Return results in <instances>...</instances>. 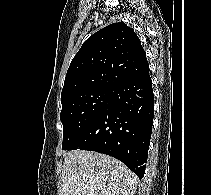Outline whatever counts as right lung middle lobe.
<instances>
[{
    "label": "right lung middle lobe",
    "instance_id": "1",
    "mask_svg": "<svg viewBox=\"0 0 211 195\" xmlns=\"http://www.w3.org/2000/svg\"><path fill=\"white\" fill-rule=\"evenodd\" d=\"M110 89L95 88L76 93L61 101L63 149H69L87 130L108 103Z\"/></svg>",
    "mask_w": 211,
    "mask_h": 195
}]
</instances>
